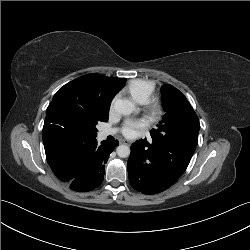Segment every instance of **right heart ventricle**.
Wrapping results in <instances>:
<instances>
[{"label":"right heart ventricle","mask_w":250,"mask_h":250,"mask_svg":"<svg viewBox=\"0 0 250 250\" xmlns=\"http://www.w3.org/2000/svg\"><path fill=\"white\" fill-rule=\"evenodd\" d=\"M126 90L134 101L143 104L151 99L155 91V84L149 80L136 79L127 85Z\"/></svg>","instance_id":"obj_1"}]
</instances>
